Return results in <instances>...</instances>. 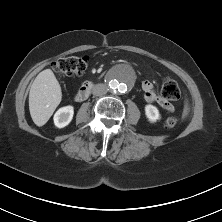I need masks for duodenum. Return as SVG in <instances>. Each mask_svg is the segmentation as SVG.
<instances>
[{
  "label": "duodenum",
  "instance_id": "duodenum-1",
  "mask_svg": "<svg viewBox=\"0 0 222 222\" xmlns=\"http://www.w3.org/2000/svg\"><path fill=\"white\" fill-rule=\"evenodd\" d=\"M94 84L91 81L84 83L75 94V101L82 102L88 98L93 89Z\"/></svg>",
  "mask_w": 222,
  "mask_h": 222
}]
</instances>
